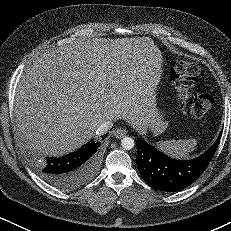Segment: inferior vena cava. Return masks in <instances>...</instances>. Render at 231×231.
<instances>
[{
    "label": "inferior vena cava",
    "instance_id": "inferior-vena-cava-1",
    "mask_svg": "<svg viewBox=\"0 0 231 231\" xmlns=\"http://www.w3.org/2000/svg\"><path fill=\"white\" fill-rule=\"evenodd\" d=\"M113 126L111 121H103L96 129L97 135L105 134L108 130H110Z\"/></svg>",
    "mask_w": 231,
    "mask_h": 231
}]
</instances>
